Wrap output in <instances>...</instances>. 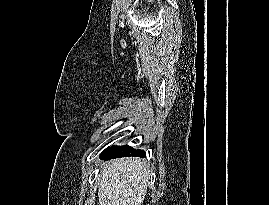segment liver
<instances>
[{
	"instance_id": "liver-1",
	"label": "liver",
	"mask_w": 269,
	"mask_h": 205,
	"mask_svg": "<svg viewBox=\"0 0 269 205\" xmlns=\"http://www.w3.org/2000/svg\"><path fill=\"white\" fill-rule=\"evenodd\" d=\"M99 205H141L149 170L139 158H121L106 164L99 174Z\"/></svg>"
}]
</instances>
